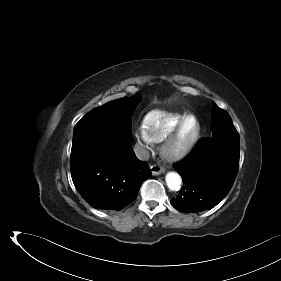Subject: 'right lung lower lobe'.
Instances as JSON below:
<instances>
[{
    "label": "right lung lower lobe",
    "instance_id": "obj_1",
    "mask_svg": "<svg viewBox=\"0 0 281 281\" xmlns=\"http://www.w3.org/2000/svg\"><path fill=\"white\" fill-rule=\"evenodd\" d=\"M71 176L79 194L92 207L121 210L137 196L151 176L125 137L110 134L72 144Z\"/></svg>",
    "mask_w": 281,
    "mask_h": 281
}]
</instances>
